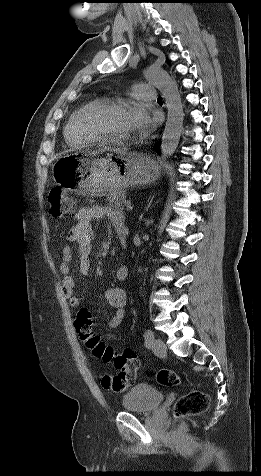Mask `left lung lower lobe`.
Returning <instances> with one entry per match:
<instances>
[{
    "mask_svg": "<svg viewBox=\"0 0 261 476\" xmlns=\"http://www.w3.org/2000/svg\"><path fill=\"white\" fill-rule=\"evenodd\" d=\"M154 149H155L156 152H159V151H160L159 143H157V145L154 147Z\"/></svg>",
    "mask_w": 261,
    "mask_h": 476,
    "instance_id": "obj_1",
    "label": "left lung lower lobe"
}]
</instances>
